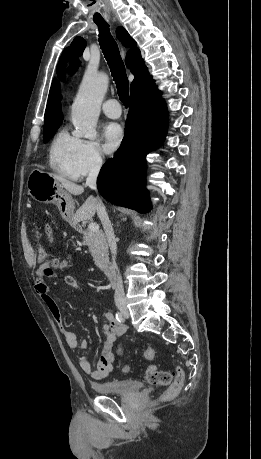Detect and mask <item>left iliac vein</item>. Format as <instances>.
Wrapping results in <instances>:
<instances>
[{
  "mask_svg": "<svg viewBox=\"0 0 261 459\" xmlns=\"http://www.w3.org/2000/svg\"><path fill=\"white\" fill-rule=\"evenodd\" d=\"M124 316H125L126 318H128V317H129V312H128L127 310H126V311H124Z\"/></svg>",
  "mask_w": 261,
  "mask_h": 459,
  "instance_id": "obj_1",
  "label": "left iliac vein"
}]
</instances>
